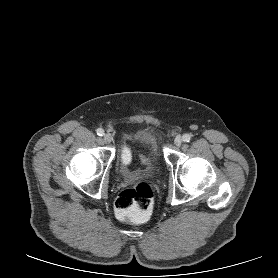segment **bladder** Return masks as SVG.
Here are the masks:
<instances>
[{"label":"bladder","instance_id":"obj_1","mask_svg":"<svg viewBox=\"0 0 278 278\" xmlns=\"http://www.w3.org/2000/svg\"><path fill=\"white\" fill-rule=\"evenodd\" d=\"M135 139L149 151L153 160L152 170H155L157 162L156 138L149 132H140L136 135Z\"/></svg>","mask_w":278,"mask_h":278}]
</instances>
